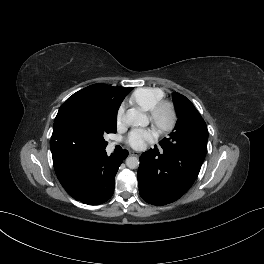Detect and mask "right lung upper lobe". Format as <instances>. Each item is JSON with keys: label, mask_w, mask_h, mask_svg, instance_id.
<instances>
[{"label": "right lung upper lobe", "mask_w": 264, "mask_h": 264, "mask_svg": "<svg viewBox=\"0 0 264 264\" xmlns=\"http://www.w3.org/2000/svg\"><path fill=\"white\" fill-rule=\"evenodd\" d=\"M89 87L105 90L110 94V96L114 100L120 102V104L123 101L124 97L133 89L132 87L121 88V87H112L105 84H95ZM51 151H52L54 167L64 164L75 155L73 153H69L61 150L53 140H51Z\"/></svg>", "instance_id": "obj_1"}]
</instances>
